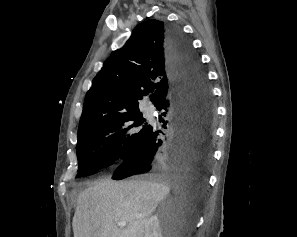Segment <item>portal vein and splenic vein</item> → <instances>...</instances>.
<instances>
[{
  "instance_id": "18ae733b",
  "label": "portal vein and splenic vein",
  "mask_w": 297,
  "mask_h": 237,
  "mask_svg": "<svg viewBox=\"0 0 297 237\" xmlns=\"http://www.w3.org/2000/svg\"><path fill=\"white\" fill-rule=\"evenodd\" d=\"M117 226H119V227H125L126 226V222H118L117 223Z\"/></svg>"
}]
</instances>
